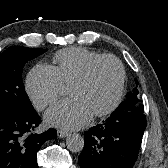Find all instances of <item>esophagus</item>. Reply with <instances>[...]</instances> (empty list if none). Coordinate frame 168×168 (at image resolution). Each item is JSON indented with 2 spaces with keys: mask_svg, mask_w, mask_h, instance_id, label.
Masks as SVG:
<instances>
[{
  "mask_svg": "<svg viewBox=\"0 0 168 168\" xmlns=\"http://www.w3.org/2000/svg\"><path fill=\"white\" fill-rule=\"evenodd\" d=\"M57 135H58V137H60V138H64V137H66V136L69 135V132H68V131H65V130H58V131H57Z\"/></svg>",
  "mask_w": 168,
  "mask_h": 168,
  "instance_id": "esophagus-1",
  "label": "esophagus"
}]
</instances>
